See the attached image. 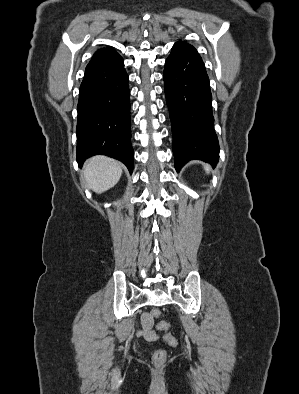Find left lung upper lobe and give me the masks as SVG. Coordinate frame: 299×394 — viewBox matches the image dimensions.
Here are the masks:
<instances>
[{
    "instance_id": "1",
    "label": "left lung upper lobe",
    "mask_w": 299,
    "mask_h": 394,
    "mask_svg": "<svg viewBox=\"0 0 299 394\" xmlns=\"http://www.w3.org/2000/svg\"><path fill=\"white\" fill-rule=\"evenodd\" d=\"M176 45H186V46H191L186 42H177Z\"/></svg>"
}]
</instances>
